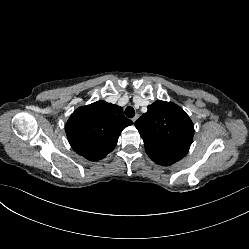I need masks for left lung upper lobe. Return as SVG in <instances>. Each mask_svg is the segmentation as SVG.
Wrapping results in <instances>:
<instances>
[{
	"mask_svg": "<svg viewBox=\"0 0 249 249\" xmlns=\"http://www.w3.org/2000/svg\"><path fill=\"white\" fill-rule=\"evenodd\" d=\"M146 153L157 164L169 166L189 151L194 125L176 104L156 101L136 122Z\"/></svg>",
	"mask_w": 249,
	"mask_h": 249,
	"instance_id": "obj_1",
	"label": "left lung upper lobe"
}]
</instances>
